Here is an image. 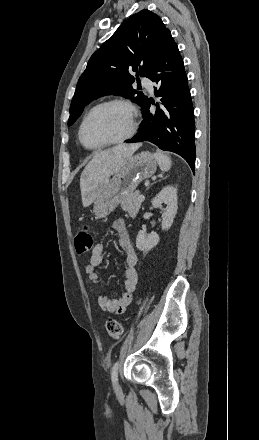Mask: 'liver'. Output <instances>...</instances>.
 Instances as JSON below:
<instances>
[{"label": "liver", "instance_id": "obj_1", "mask_svg": "<svg viewBox=\"0 0 259 440\" xmlns=\"http://www.w3.org/2000/svg\"><path fill=\"white\" fill-rule=\"evenodd\" d=\"M141 144H121L100 151L88 163L80 177L83 207H88L103 192L110 176L120 171Z\"/></svg>", "mask_w": 259, "mask_h": 440}]
</instances>
